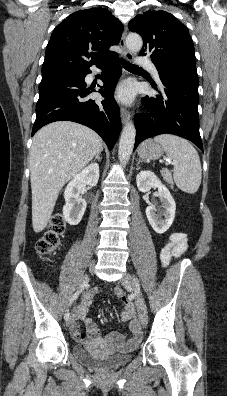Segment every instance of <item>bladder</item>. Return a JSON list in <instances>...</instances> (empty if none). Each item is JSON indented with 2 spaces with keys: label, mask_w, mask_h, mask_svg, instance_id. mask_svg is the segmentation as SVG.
<instances>
[{
  "label": "bladder",
  "mask_w": 227,
  "mask_h": 396,
  "mask_svg": "<svg viewBox=\"0 0 227 396\" xmlns=\"http://www.w3.org/2000/svg\"><path fill=\"white\" fill-rule=\"evenodd\" d=\"M72 352L77 361L94 370L115 369L130 359L129 352L103 354L83 346H75Z\"/></svg>",
  "instance_id": "obj_1"
}]
</instances>
